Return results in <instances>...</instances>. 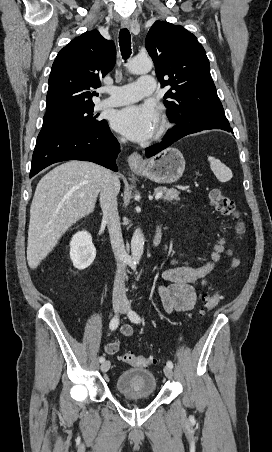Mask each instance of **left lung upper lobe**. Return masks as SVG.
Returning a JSON list of instances; mask_svg holds the SVG:
<instances>
[{
    "label": "left lung upper lobe",
    "instance_id": "1",
    "mask_svg": "<svg viewBox=\"0 0 272 452\" xmlns=\"http://www.w3.org/2000/svg\"><path fill=\"white\" fill-rule=\"evenodd\" d=\"M146 49L161 87L171 86L164 104L176 126H229L210 74L209 60L195 35L179 25L156 21Z\"/></svg>",
    "mask_w": 272,
    "mask_h": 452
}]
</instances>
